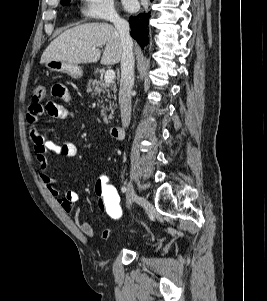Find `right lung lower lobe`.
Instances as JSON below:
<instances>
[{
	"label": "right lung lower lobe",
	"instance_id": "right-lung-lower-lobe-1",
	"mask_svg": "<svg viewBox=\"0 0 267 301\" xmlns=\"http://www.w3.org/2000/svg\"><path fill=\"white\" fill-rule=\"evenodd\" d=\"M150 14V12H149ZM149 15L147 13H141L138 16H131L129 18V23L131 25L132 31L130 32L131 36L138 41L140 46L144 48V46L148 43V22Z\"/></svg>",
	"mask_w": 267,
	"mask_h": 301
}]
</instances>
